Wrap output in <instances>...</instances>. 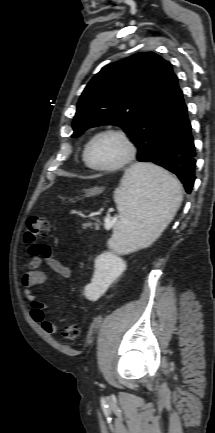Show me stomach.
Returning a JSON list of instances; mask_svg holds the SVG:
<instances>
[{"label": "stomach", "instance_id": "0dacf381", "mask_svg": "<svg viewBox=\"0 0 215 433\" xmlns=\"http://www.w3.org/2000/svg\"><path fill=\"white\" fill-rule=\"evenodd\" d=\"M104 188L103 187H93L90 189L85 190V196L86 197H91V196H96L99 195L103 192ZM72 201V199H71Z\"/></svg>", "mask_w": 215, "mask_h": 433}]
</instances>
